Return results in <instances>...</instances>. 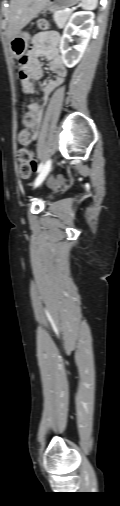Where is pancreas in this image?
<instances>
[{
    "instance_id": "obj_1",
    "label": "pancreas",
    "mask_w": 120,
    "mask_h": 506,
    "mask_svg": "<svg viewBox=\"0 0 120 506\" xmlns=\"http://www.w3.org/2000/svg\"><path fill=\"white\" fill-rule=\"evenodd\" d=\"M71 13L68 11H55L53 14V18L55 23L59 28H63L67 20L69 19Z\"/></svg>"
}]
</instances>
